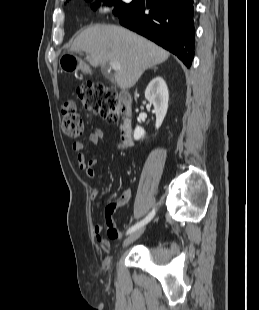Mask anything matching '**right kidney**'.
I'll return each mask as SVG.
<instances>
[{"mask_svg":"<svg viewBox=\"0 0 259 310\" xmlns=\"http://www.w3.org/2000/svg\"><path fill=\"white\" fill-rule=\"evenodd\" d=\"M145 98L154 106V111L156 114L155 127L158 129L166 116L169 100L168 88L162 77H155L149 83L145 90ZM144 135V129L137 126L134 131V139L139 140L143 138Z\"/></svg>","mask_w":259,"mask_h":310,"instance_id":"1","label":"right kidney"}]
</instances>
